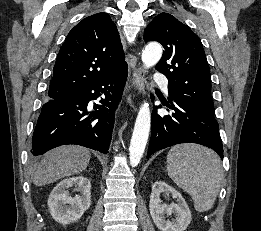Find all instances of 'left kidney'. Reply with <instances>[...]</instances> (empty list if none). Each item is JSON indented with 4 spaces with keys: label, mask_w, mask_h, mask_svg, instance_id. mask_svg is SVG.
Returning a JSON list of instances; mask_svg holds the SVG:
<instances>
[{
    "label": "left kidney",
    "mask_w": 261,
    "mask_h": 231,
    "mask_svg": "<svg viewBox=\"0 0 261 231\" xmlns=\"http://www.w3.org/2000/svg\"><path fill=\"white\" fill-rule=\"evenodd\" d=\"M160 193L171 194L177 203L163 204ZM149 210L153 222L161 231H185L191 222V212L182 195L164 181H157L152 186ZM174 214L175 218L166 220L165 216Z\"/></svg>",
    "instance_id": "1"
}]
</instances>
